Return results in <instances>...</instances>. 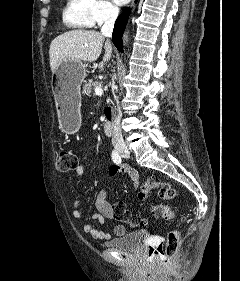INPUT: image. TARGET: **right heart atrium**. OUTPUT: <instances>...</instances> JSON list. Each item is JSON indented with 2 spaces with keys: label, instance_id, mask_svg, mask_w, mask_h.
Wrapping results in <instances>:
<instances>
[{
  "label": "right heart atrium",
  "instance_id": "d8ad5b80",
  "mask_svg": "<svg viewBox=\"0 0 240 281\" xmlns=\"http://www.w3.org/2000/svg\"><path fill=\"white\" fill-rule=\"evenodd\" d=\"M92 14L96 24H103L113 20L117 14V7L110 0H92Z\"/></svg>",
  "mask_w": 240,
  "mask_h": 281
}]
</instances>
